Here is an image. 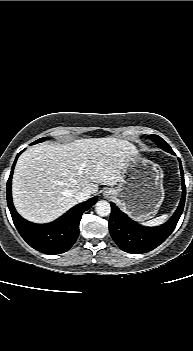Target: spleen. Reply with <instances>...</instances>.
<instances>
[{
	"instance_id": "1",
	"label": "spleen",
	"mask_w": 193,
	"mask_h": 351,
	"mask_svg": "<svg viewBox=\"0 0 193 351\" xmlns=\"http://www.w3.org/2000/svg\"><path fill=\"white\" fill-rule=\"evenodd\" d=\"M168 218V214H163L162 216L156 217L152 220H149L147 222H143V225L146 226H157V225H161L162 223L165 222V220Z\"/></svg>"
}]
</instances>
